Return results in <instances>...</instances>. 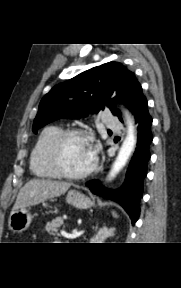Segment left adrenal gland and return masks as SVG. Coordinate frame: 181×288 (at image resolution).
<instances>
[{
	"mask_svg": "<svg viewBox=\"0 0 181 288\" xmlns=\"http://www.w3.org/2000/svg\"><path fill=\"white\" fill-rule=\"evenodd\" d=\"M115 232V228H107L103 227L99 229V231L93 236L92 241L94 243H102L105 239L110 236H113Z\"/></svg>",
	"mask_w": 181,
	"mask_h": 288,
	"instance_id": "1",
	"label": "left adrenal gland"
}]
</instances>
